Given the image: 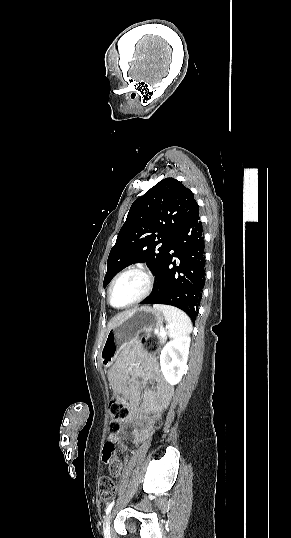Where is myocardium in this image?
Here are the masks:
<instances>
[{"label": "myocardium", "instance_id": "f54148a6", "mask_svg": "<svg viewBox=\"0 0 291 538\" xmlns=\"http://www.w3.org/2000/svg\"><path fill=\"white\" fill-rule=\"evenodd\" d=\"M130 273H137L139 275H141L142 277H144L145 279V282H146V286H145V289L144 291L139 295L137 296L135 299L131 300L130 302H128L127 304L125 305H122V306H115L112 302V291H113V288H114V285L116 284V282L121 278L123 277L124 275H127V274H130ZM154 276L153 274L147 270L146 268L142 267V266H132V267H128L122 271H120L111 281L110 285H109V288H108V302L109 304L116 308V309H125V308H128V307H131L137 303H140L141 301H143L144 299H146L153 287H154Z\"/></svg>", "mask_w": 291, "mask_h": 538}]
</instances>
